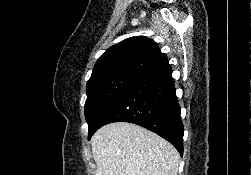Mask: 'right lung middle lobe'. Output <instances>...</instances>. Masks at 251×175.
<instances>
[{"instance_id": "right-lung-middle-lobe-1", "label": "right lung middle lobe", "mask_w": 251, "mask_h": 175, "mask_svg": "<svg viewBox=\"0 0 251 175\" xmlns=\"http://www.w3.org/2000/svg\"><path fill=\"white\" fill-rule=\"evenodd\" d=\"M139 79L120 75L109 79L99 80L87 84V100L85 103V118L89 127L88 139L98 129L103 114L110 105L132 84Z\"/></svg>"}]
</instances>
